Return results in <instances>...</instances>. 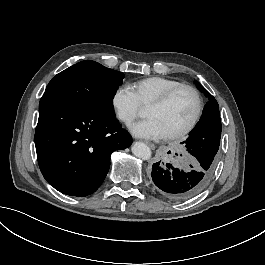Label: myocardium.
Masks as SVG:
<instances>
[{
  "label": "myocardium",
  "mask_w": 265,
  "mask_h": 265,
  "mask_svg": "<svg viewBox=\"0 0 265 265\" xmlns=\"http://www.w3.org/2000/svg\"><path fill=\"white\" fill-rule=\"evenodd\" d=\"M184 91H187V92L192 94V96L195 100V104H196L195 113H194L190 123L185 128H183L182 130H180L176 133L166 135L165 138L168 140H176V139L184 138L191 131H193V129L198 124V122L202 116V113H203V102H202V98L200 96L199 91L196 88H194L193 86L183 84L179 87H176V88L168 91L166 94H164L162 97H160L159 99H157L155 102L151 103L148 106V108H155V109L162 108V107L166 106L176 95H178L179 93L184 92Z\"/></svg>",
  "instance_id": "1"
}]
</instances>
